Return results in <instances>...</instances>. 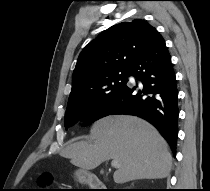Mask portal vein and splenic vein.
<instances>
[{
  "instance_id": "portal-vein-and-splenic-vein-1",
  "label": "portal vein and splenic vein",
  "mask_w": 210,
  "mask_h": 191,
  "mask_svg": "<svg viewBox=\"0 0 210 191\" xmlns=\"http://www.w3.org/2000/svg\"><path fill=\"white\" fill-rule=\"evenodd\" d=\"M111 166H112V167H114V168L119 167V163H118V161H117L116 159L112 160V162H111Z\"/></svg>"
}]
</instances>
